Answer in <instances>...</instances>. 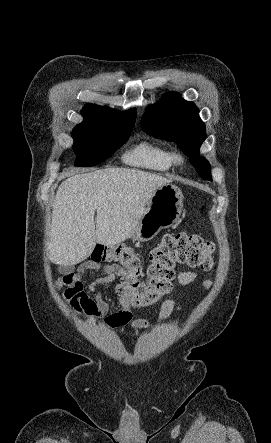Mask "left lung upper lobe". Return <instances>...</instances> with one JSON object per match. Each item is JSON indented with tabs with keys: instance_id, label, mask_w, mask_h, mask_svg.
<instances>
[{
	"instance_id": "obj_1",
	"label": "left lung upper lobe",
	"mask_w": 271,
	"mask_h": 443,
	"mask_svg": "<svg viewBox=\"0 0 271 443\" xmlns=\"http://www.w3.org/2000/svg\"><path fill=\"white\" fill-rule=\"evenodd\" d=\"M141 127L156 138L177 142L184 154L190 157L200 177L212 181L209 162L199 156L206 133L199 109L193 102L183 100L179 93H166L158 103L147 108Z\"/></svg>"
}]
</instances>
